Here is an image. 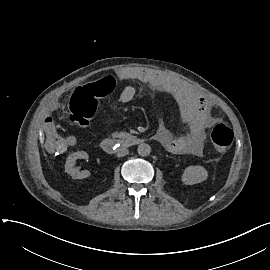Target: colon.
<instances>
[{
    "label": "colon",
    "mask_w": 270,
    "mask_h": 270,
    "mask_svg": "<svg viewBox=\"0 0 270 270\" xmlns=\"http://www.w3.org/2000/svg\"><path fill=\"white\" fill-rule=\"evenodd\" d=\"M111 93L112 87L108 84L92 83L78 87L69 102L70 121L80 128L88 126L96 114L100 98ZM210 137L215 148L225 150L232 145L234 133L226 124L219 123L212 128Z\"/></svg>",
    "instance_id": "colon-1"
}]
</instances>
